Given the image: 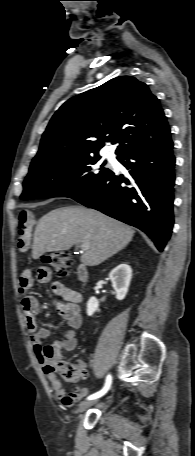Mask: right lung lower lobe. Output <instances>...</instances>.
<instances>
[{
    "instance_id": "98d812e1",
    "label": "right lung lower lobe",
    "mask_w": 195,
    "mask_h": 456,
    "mask_svg": "<svg viewBox=\"0 0 195 456\" xmlns=\"http://www.w3.org/2000/svg\"><path fill=\"white\" fill-rule=\"evenodd\" d=\"M117 159L129 169L130 180L112 173L97 187L73 199L139 228L163 251L174 223L173 142L170 138L162 144L131 149Z\"/></svg>"
}]
</instances>
